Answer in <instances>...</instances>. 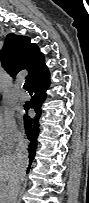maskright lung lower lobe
I'll list each match as a JSON object with an SVG mask.
<instances>
[{"label": "right lung lower lobe", "mask_w": 89, "mask_h": 203, "mask_svg": "<svg viewBox=\"0 0 89 203\" xmlns=\"http://www.w3.org/2000/svg\"><path fill=\"white\" fill-rule=\"evenodd\" d=\"M49 85L50 80L48 70L44 71L42 74L36 77L29 85L31 90L34 91V96L32 97L30 104L25 106V110L27 111L29 108H32L36 112V116L33 118L24 116L25 133L30 140V146L28 149L30 164L36 152L41 106L46 99V90L48 89Z\"/></svg>", "instance_id": "1"}]
</instances>
